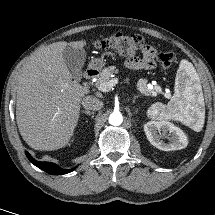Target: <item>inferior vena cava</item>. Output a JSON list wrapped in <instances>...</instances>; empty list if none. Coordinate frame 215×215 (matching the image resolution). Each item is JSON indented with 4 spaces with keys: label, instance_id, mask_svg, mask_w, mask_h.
I'll return each instance as SVG.
<instances>
[{
    "label": "inferior vena cava",
    "instance_id": "602c4592",
    "mask_svg": "<svg viewBox=\"0 0 215 215\" xmlns=\"http://www.w3.org/2000/svg\"><path fill=\"white\" fill-rule=\"evenodd\" d=\"M82 105L86 110L98 111L103 107V102L94 96H86Z\"/></svg>",
    "mask_w": 215,
    "mask_h": 215
}]
</instances>
